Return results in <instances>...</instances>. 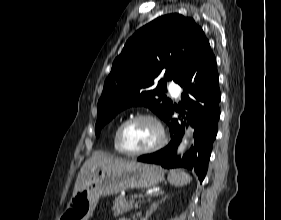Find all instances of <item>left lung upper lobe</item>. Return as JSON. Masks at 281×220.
<instances>
[{
    "label": "left lung upper lobe",
    "instance_id": "left-lung-upper-lobe-1",
    "mask_svg": "<svg viewBox=\"0 0 281 220\" xmlns=\"http://www.w3.org/2000/svg\"><path fill=\"white\" fill-rule=\"evenodd\" d=\"M209 47L202 28L177 13L161 16L136 31L104 83L96 136L108 121L133 105H144L166 121L172 109V101L164 94L167 81L179 83L192 60ZM155 79L160 81L153 88Z\"/></svg>",
    "mask_w": 281,
    "mask_h": 220
}]
</instances>
